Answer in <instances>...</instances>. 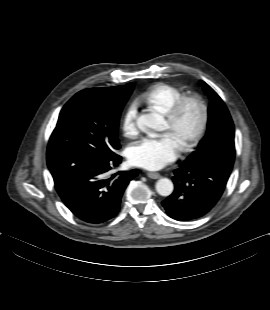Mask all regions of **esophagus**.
Listing matches in <instances>:
<instances>
[{
    "instance_id": "1",
    "label": "esophagus",
    "mask_w": 270,
    "mask_h": 310,
    "mask_svg": "<svg viewBox=\"0 0 270 310\" xmlns=\"http://www.w3.org/2000/svg\"><path fill=\"white\" fill-rule=\"evenodd\" d=\"M147 176L151 179H158L160 178V174L159 173H156V172H148L147 173Z\"/></svg>"
}]
</instances>
